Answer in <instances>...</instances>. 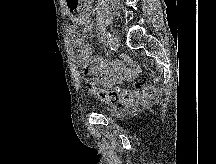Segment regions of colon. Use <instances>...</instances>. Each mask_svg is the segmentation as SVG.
<instances>
[{"label":"colon","instance_id":"colon-1","mask_svg":"<svg viewBox=\"0 0 216 164\" xmlns=\"http://www.w3.org/2000/svg\"><path fill=\"white\" fill-rule=\"evenodd\" d=\"M87 74V72H85ZM86 85L90 92L109 105L129 103L137 96L143 105H148L156 96V87L146 80L138 81L134 89H100L93 76L87 74Z\"/></svg>","mask_w":216,"mask_h":164}]
</instances>
